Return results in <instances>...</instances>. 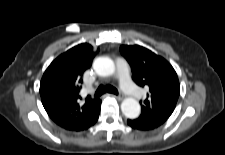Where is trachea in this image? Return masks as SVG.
I'll return each mask as SVG.
<instances>
[{
  "label": "trachea",
  "mask_w": 225,
  "mask_h": 155,
  "mask_svg": "<svg viewBox=\"0 0 225 155\" xmlns=\"http://www.w3.org/2000/svg\"><path fill=\"white\" fill-rule=\"evenodd\" d=\"M106 91L109 92V93L118 95V90H117L115 87H113V86H111V85H106V86L100 85V86L98 87V89L96 90V92H95V97L101 96V95L104 94Z\"/></svg>",
  "instance_id": "obj_1"
}]
</instances>
